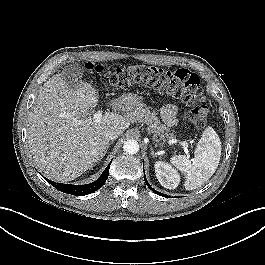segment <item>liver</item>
<instances>
[{"label": "liver", "mask_w": 265, "mask_h": 265, "mask_svg": "<svg viewBox=\"0 0 265 265\" xmlns=\"http://www.w3.org/2000/svg\"><path fill=\"white\" fill-rule=\"evenodd\" d=\"M65 72L52 76L42 87L29 114L28 146L37 167L48 177L69 182L91 169L106 150L104 134L121 135L130 121L114 112L105 113L100 122L86 121L98 104L96 89L79 81L72 89ZM114 109L131 110L129 98L112 101Z\"/></svg>", "instance_id": "obj_1"}]
</instances>
